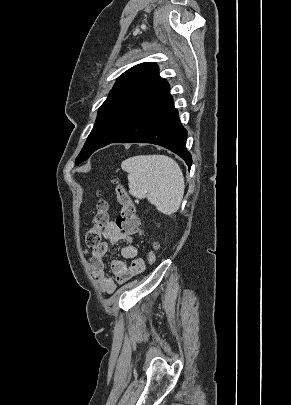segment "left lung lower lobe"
Here are the masks:
<instances>
[{
  "mask_svg": "<svg viewBox=\"0 0 291 405\" xmlns=\"http://www.w3.org/2000/svg\"><path fill=\"white\" fill-rule=\"evenodd\" d=\"M169 90L168 82L161 78L143 97L124 132L112 143L157 144L176 153L190 168L187 130L180 123Z\"/></svg>",
  "mask_w": 291,
  "mask_h": 405,
  "instance_id": "1",
  "label": "left lung lower lobe"
}]
</instances>
